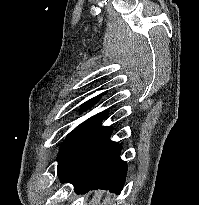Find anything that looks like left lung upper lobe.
<instances>
[{"label":"left lung upper lobe","mask_w":199,"mask_h":205,"mask_svg":"<svg viewBox=\"0 0 199 205\" xmlns=\"http://www.w3.org/2000/svg\"><path fill=\"white\" fill-rule=\"evenodd\" d=\"M99 99L100 96H97L88 100L81 105L83 110L80 111L91 108ZM107 115L108 112H101L80 124L67 135L59 149L60 152L57 157L59 179L63 178L70 171L86 140Z\"/></svg>","instance_id":"1"}]
</instances>
